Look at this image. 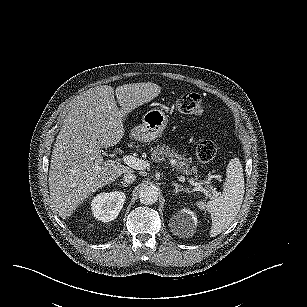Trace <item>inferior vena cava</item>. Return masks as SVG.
Returning <instances> with one entry per match:
<instances>
[{
    "label": "inferior vena cava",
    "mask_w": 307,
    "mask_h": 307,
    "mask_svg": "<svg viewBox=\"0 0 307 307\" xmlns=\"http://www.w3.org/2000/svg\"><path fill=\"white\" fill-rule=\"evenodd\" d=\"M123 180L126 184H132L136 180V175L132 172L125 173Z\"/></svg>",
    "instance_id": "inferior-vena-cava-1"
}]
</instances>
